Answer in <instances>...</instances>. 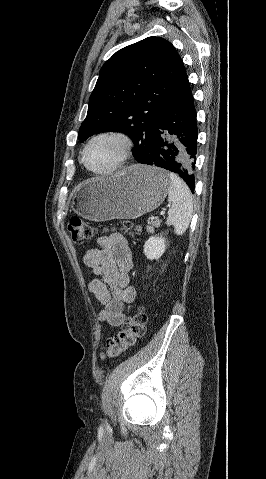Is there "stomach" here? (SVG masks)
<instances>
[{
	"label": "stomach",
	"instance_id": "1",
	"mask_svg": "<svg viewBox=\"0 0 266 479\" xmlns=\"http://www.w3.org/2000/svg\"><path fill=\"white\" fill-rule=\"evenodd\" d=\"M170 183L168 173L159 167L133 165L80 184L72 193V208L81 217L96 222L135 219L160 206Z\"/></svg>",
	"mask_w": 266,
	"mask_h": 479
}]
</instances>
